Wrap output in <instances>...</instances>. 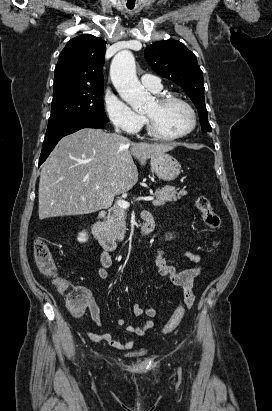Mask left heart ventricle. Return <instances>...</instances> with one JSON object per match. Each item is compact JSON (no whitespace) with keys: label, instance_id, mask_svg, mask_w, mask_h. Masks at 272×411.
<instances>
[{"label":"left heart ventricle","instance_id":"b2bd125f","mask_svg":"<svg viewBox=\"0 0 272 411\" xmlns=\"http://www.w3.org/2000/svg\"><path fill=\"white\" fill-rule=\"evenodd\" d=\"M144 113L152 118L162 133L167 135H176L186 131L192 122L190 111L180 103L161 107L154 100L144 109Z\"/></svg>","mask_w":272,"mask_h":411}]
</instances>
